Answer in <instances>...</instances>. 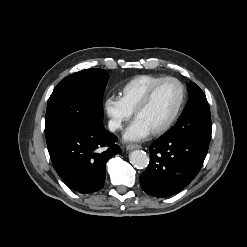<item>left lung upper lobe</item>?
Returning <instances> with one entry per match:
<instances>
[{
  "mask_svg": "<svg viewBox=\"0 0 247 247\" xmlns=\"http://www.w3.org/2000/svg\"><path fill=\"white\" fill-rule=\"evenodd\" d=\"M189 100L175 126L167 133L211 139L210 108L203 91L195 84H188Z\"/></svg>",
  "mask_w": 247,
  "mask_h": 247,
  "instance_id": "5c2ea615",
  "label": "left lung upper lobe"
}]
</instances>
